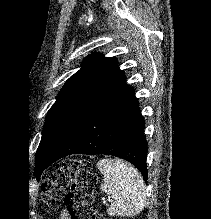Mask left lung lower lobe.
I'll return each mask as SVG.
<instances>
[{"mask_svg":"<svg viewBox=\"0 0 211 219\" xmlns=\"http://www.w3.org/2000/svg\"><path fill=\"white\" fill-rule=\"evenodd\" d=\"M145 122L134 90L123 75L73 126L56 152L48 158L36 153L40 173L72 154L112 155L134 164L147 180Z\"/></svg>","mask_w":211,"mask_h":219,"instance_id":"1","label":"left lung lower lobe"}]
</instances>
